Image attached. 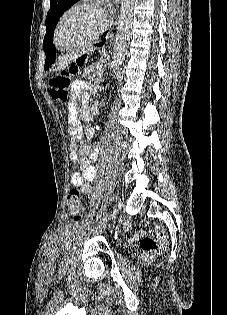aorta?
Returning a JSON list of instances; mask_svg holds the SVG:
<instances>
[{
    "label": "aorta",
    "instance_id": "aorta-1",
    "mask_svg": "<svg viewBox=\"0 0 227 315\" xmlns=\"http://www.w3.org/2000/svg\"><path fill=\"white\" fill-rule=\"evenodd\" d=\"M134 1L135 0H121L120 15L111 63L113 71H116L120 67L127 52L128 43L131 38V27L133 24Z\"/></svg>",
    "mask_w": 227,
    "mask_h": 315
}]
</instances>
